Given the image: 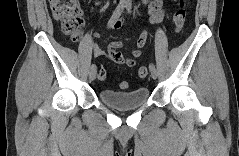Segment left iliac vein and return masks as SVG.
Masks as SVG:
<instances>
[{
	"mask_svg": "<svg viewBox=\"0 0 239 156\" xmlns=\"http://www.w3.org/2000/svg\"><path fill=\"white\" fill-rule=\"evenodd\" d=\"M150 73H151V77H152L153 79H156V78H157L158 73H157L156 68L150 69Z\"/></svg>",
	"mask_w": 239,
	"mask_h": 156,
	"instance_id": "obj_1",
	"label": "left iliac vein"
}]
</instances>
